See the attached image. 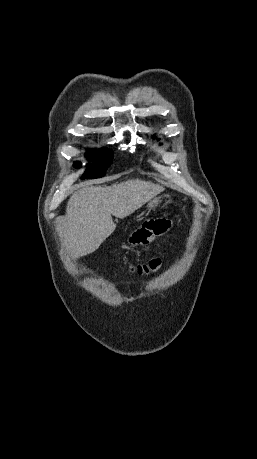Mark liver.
Returning a JSON list of instances; mask_svg holds the SVG:
<instances>
[{
  "instance_id": "liver-1",
  "label": "liver",
  "mask_w": 257,
  "mask_h": 459,
  "mask_svg": "<svg viewBox=\"0 0 257 459\" xmlns=\"http://www.w3.org/2000/svg\"><path fill=\"white\" fill-rule=\"evenodd\" d=\"M163 190L141 179L78 190L70 197L63 220L65 246L76 258L94 252L116 228L112 215L125 218Z\"/></svg>"
}]
</instances>
